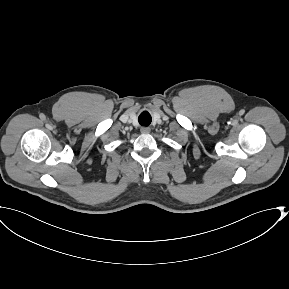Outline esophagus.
<instances>
[{
    "mask_svg": "<svg viewBox=\"0 0 289 289\" xmlns=\"http://www.w3.org/2000/svg\"><path fill=\"white\" fill-rule=\"evenodd\" d=\"M140 131L142 134H148V133H150V128L149 127H142L140 129Z\"/></svg>",
    "mask_w": 289,
    "mask_h": 289,
    "instance_id": "esophagus-1",
    "label": "esophagus"
}]
</instances>
